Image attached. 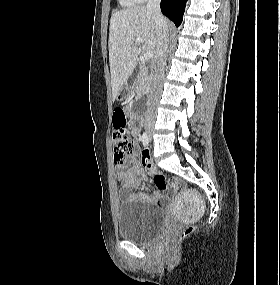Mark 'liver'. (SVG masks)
Returning <instances> with one entry per match:
<instances>
[{
	"instance_id": "6515ba94",
	"label": "liver",
	"mask_w": 280,
	"mask_h": 285,
	"mask_svg": "<svg viewBox=\"0 0 280 285\" xmlns=\"http://www.w3.org/2000/svg\"><path fill=\"white\" fill-rule=\"evenodd\" d=\"M165 24L169 29L167 19ZM137 37L144 41L142 50L155 52L157 29L153 12L145 6L115 12L110 20L108 44L113 101L137 65L140 53L134 43Z\"/></svg>"
}]
</instances>
